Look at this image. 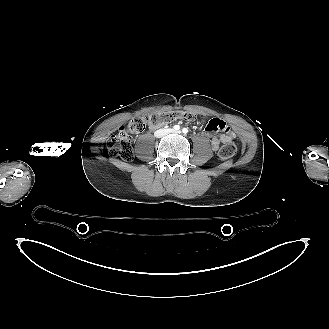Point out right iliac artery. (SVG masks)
<instances>
[{"label": "right iliac artery", "mask_w": 329, "mask_h": 329, "mask_svg": "<svg viewBox=\"0 0 329 329\" xmlns=\"http://www.w3.org/2000/svg\"><path fill=\"white\" fill-rule=\"evenodd\" d=\"M175 130H179L180 129V126L179 125H174V127H173Z\"/></svg>", "instance_id": "1"}]
</instances>
